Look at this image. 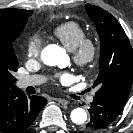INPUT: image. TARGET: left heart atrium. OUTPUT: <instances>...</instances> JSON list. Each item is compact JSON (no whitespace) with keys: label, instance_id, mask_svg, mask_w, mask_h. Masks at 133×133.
<instances>
[{"label":"left heart atrium","instance_id":"left-heart-atrium-1","mask_svg":"<svg viewBox=\"0 0 133 133\" xmlns=\"http://www.w3.org/2000/svg\"><path fill=\"white\" fill-rule=\"evenodd\" d=\"M57 80L60 82H68L71 80V75L69 73H61L57 76Z\"/></svg>","mask_w":133,"mask_h":133}]
</instances>
